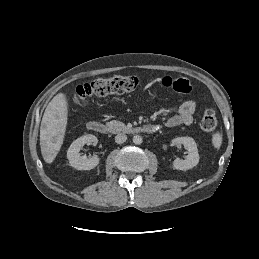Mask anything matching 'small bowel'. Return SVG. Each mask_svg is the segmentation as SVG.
<instances>
[{
	"label": "small bowel",
	"instance_id": "small-bowel-1",
	"mask_svg": "<svg viewBox=\"0 0 259 259\" xmlns=\"http://www.w3.org/2000/svg\"><path fill=\"white\" fill-rule=\"evenodd\" d=\"M196 111V103L193 100L184 101L177 113L171 115L165 122L167 127H177L180 125H189L193 121V115Z\"/></svg>",
	"mask_w": 259,
	"mask_h": 259
}]
</instances>
